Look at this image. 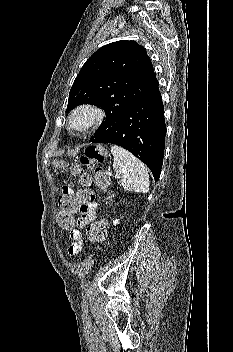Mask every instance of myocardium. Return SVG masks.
Listing matches in <instances>:
<instances>
[{
    "mask_svg": "<svg viewBox=\"0 0 233 352\" xmlns=\"http://www.w3.org/2000/svg\"><path fill=\"white\" fill-rule=\"evenodd\" d=\"M85 120L78 123L81 117ZM105 119L104 110L93 103H83L78 105L70 114L69 126L72 130L79 133H86L99 126Z\"/></svg>",
    "mask_w": 233,
    "mask_h": 352,
    "instance_id": "1",
    "label": "myocardium"
}]
</instances>
